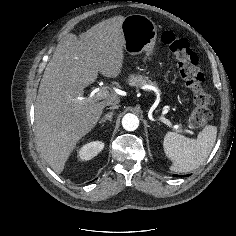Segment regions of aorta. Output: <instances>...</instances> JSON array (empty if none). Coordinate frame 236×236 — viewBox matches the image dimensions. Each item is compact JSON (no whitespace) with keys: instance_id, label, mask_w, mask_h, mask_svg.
Returning a JSON list of instances; mask_svg holds the SVG:
<instances>
[{"instance_id":"1","label":"aorta","mask_w":236,"mask_h":236,"mask_svg":"<svg viewBox=\"0 0 236 236\" xmlns=\"http://www.w3.org/2000/svg\"><path fill=\"white\" fill-rule=\"evenodd\" d=\"M122 126L127 131H134L139 126V119L136 115L128 113L122 119Z\"/></svg>"}]
</instances>
